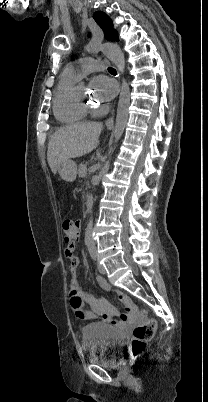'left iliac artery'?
<instances>
[{
  "instance_id": "left-iliac-artery-1",
  "label": "left iliac artery",
  "mask_w": 208,
  "mask_h": 402,
  "mask_svg": "<svg viewBox=\"0 0 208 402\" xmlns=\"http://www.w3.org/2000/svg\"><path fill=\"white\" fill-rule=\"evenodd\" d=\"M93 258L95 259V258H96V256H95V255H93Z\"/></svg>"
}]
</instances>
